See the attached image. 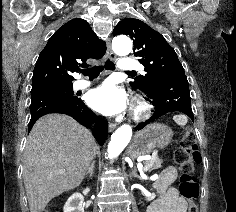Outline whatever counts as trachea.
<instances>
[{
	"instance_id": "trachea-1",
	"label": "trachea",
	"mask_w": 236,
	"mask_h": 212,
	"mask_svg": "<svg viewBox=\"0 0 236 212\" xmlns=\"http://www.w3.org/2000/svg\"><path fill=\"white\" fill-rule=\"evenodd\" d=\"M106 69V70H115V65L112 61H110L109 59L106 60V62L104 63V65H99V66H94V67H91V68H88V69H83V70H80V72L83 74V75H86V76H89V78H96L99 76L100 72L103 70V69ZM127 73H136L134 71H129Z\"/></svg>"
}]
</instances>
